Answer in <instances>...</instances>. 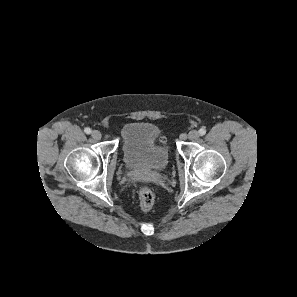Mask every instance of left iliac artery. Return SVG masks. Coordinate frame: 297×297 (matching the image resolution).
Masks as SVG:
<instances>
[{"label": "left iliac artery", "instance_id": "obj_1", "mask_svg": "<svg viewBox=\"0 0 297 297\" xmlns=\"http://www.w3.org/2000/svg\"><path fill=\"white\" fill-rule=\"evenodd\" d=\"M199 134H200L201 136L205 135V134H206V130H205L204 128H201V129L199 130Z\"/></svg>", "mask_w": 297, "mask_h": 297}]
</instances>
